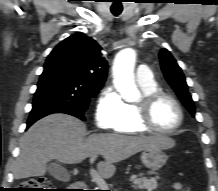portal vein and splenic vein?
I'll use <instances>...</instances> for the list:
<instances>
[{"label":"portal vein and splenic vein","instance_id":"obj_1","mask_svg":"<svg viewBox=\"0 0 218 191\" xmlns=\"http://www.w3.org/2000/svg\"><path fill=\"white\" fill-rule=\"evenodd\" d=\"M96 159V156H91L90 158V162H94ZM90 175L93 179L94 182H96V184L98 185V187L101 190H107L108 186L105 182V180L103 179V177L100 175V173H98L96 170L94 169H90Z\"/></svg>","mask_w":218,"mask_h":191}]
</instances>
